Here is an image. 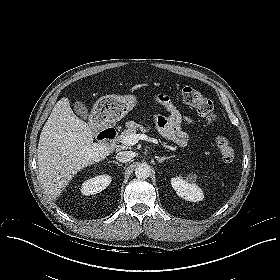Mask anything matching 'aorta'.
Listing matches in <instances>:
<instances>
[{
  "label": "aorta",
  "instance_id": "762f6f07",
  "mask_svg": "<svg viewBox=\"0 0 280 280\" xmlns=\"http://www.w3.org/2000/svg\"><path fill=\"white\" fill-rule=\"evenodd\" d=\"M150 166L147 163H140L135 169V175L139 179H147L150 176Z\"/></svg>",
  "mask_w": 280,
  "mask_h": 280
}]
</instances>
